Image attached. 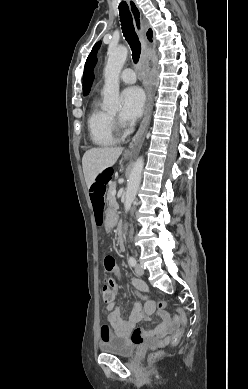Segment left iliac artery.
Wrapping results in <instances>:
<instances>
[{
	"instance_id": "left-iliac-artery-1",
	"label": "left iliac artery",
	"mask_w": 248,
	"mask_h": 389,
	"mask_svg": "<svg viewBox=\"0 0 248 389\" xmlns=\"http://www.w3.org/2000/svg\"><path fill=\"white\" fill-rule=\"evenodd\" d=\"M128 261L130 266L134 267L136 265V259L133 256H130Z\"/></svg>"
}]
</instances>
